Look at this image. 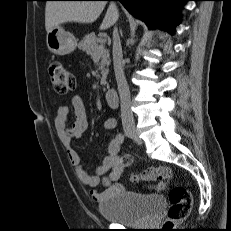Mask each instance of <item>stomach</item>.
<instances>
[{
	"label": "stomach",
	"mask_w": 231,
	"mask_h": 231,
	"mask_svg": "<svg viewBox=\"0 0 231 231\" xmlns=\"http://www.w3.org/2000/svg\"><path fill=\"white\" fill-rule=\"evenodd\" d=\"M46 43L52 53L67 55L76 49L77 39L72 33L57 26L47 33Z\"/></svg>",
	"instance_id": "0dacf381"
}]
</instances>
